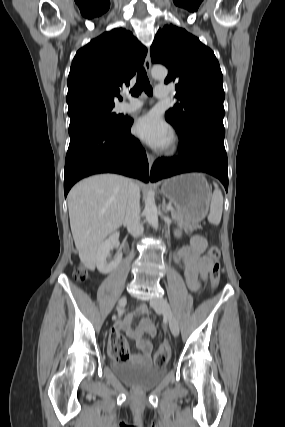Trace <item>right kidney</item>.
<instances>
[{
	"label": "right kidney",
	"mask_w": 285,
	"mask_h": 427,
	"mask_svg": "<svg viewBox=\"0 0 285 427\" xmlns=\"http://www.w3.org/2000/svg\"><path fill=\"white\" fill-rule=\"evenodd\" d=\"M113 248H119V233L114 232L106 239L98 248L96 254V266L100 273L108 274L113 271L122 260V252L119 249L116 256L112 261H108L107 258L110 255V250Z\"/></svg>",
	"instance_id": "ca27d5eb"
}]
</instances>
